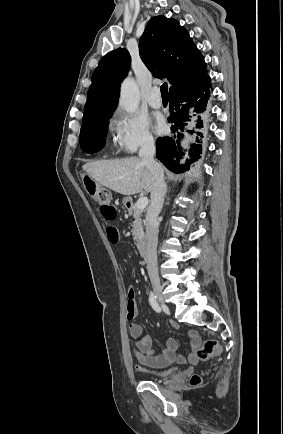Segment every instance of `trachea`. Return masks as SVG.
<instances>
[{
	"mask_svg": "<svg viewBox=\"0 0 283 434\" xmlns=\"http://www.w3.org/2000/svg\"><path fill=\"white\" fill-rule=\"evenodd\" d=\"M160 91L162 97L168 98V85L166 82L162 84V86L160 87Z\"/></svg>",
	"mask_w": 283,
	"mask_h": 434,
	"instance_id": "trachea-1",
	"label": "trachea"
}]
</instances>
